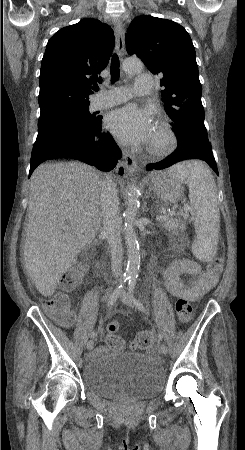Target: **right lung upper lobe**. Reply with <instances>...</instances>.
<instances>
[{
    "label": "right lung upper lobe",
    "instance_id": "obj_1",
    "mask_svg": "<svg viewBox=\"0 0 245 450\" xmlns=\"http://www.w3.org/2000/svg\"><path fill=\"white\" fill-rule=\"evenodd\" d=\"M114 40L111 27L91 18L55 33L41 63V110L89 104L92 84L100 82L98 74L108 64Z\"/></svg>",
    "mask_w": 245,
    "mask_h": 450
}]
</instances>
